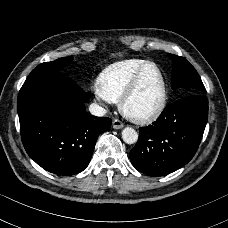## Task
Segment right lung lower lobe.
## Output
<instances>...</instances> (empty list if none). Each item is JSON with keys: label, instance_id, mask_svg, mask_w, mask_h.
<instances>
[{"label": "right lung lower lobe", "instance_id": "98d812e1", "mask_svg": "<svg viewBox=\"0 0 228 228\" xmlns=\"http://www.w3.org/2000/svg\"><path fill=\"white\" fill-rule=\"evenodd\" d=\"M88 100L59 71L27 77L17 100L21 138L28 155L45 170L69 176L88 166L98 136L112 122L88 114Z\"/></svg>", "mask_w": 228, "mask_h": 228}]
</instances>
